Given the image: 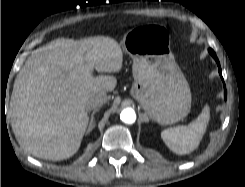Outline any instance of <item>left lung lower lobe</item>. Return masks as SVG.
I'll use <instances>...</instances> for the list:
<instances>
[{
    "label": "left lung lower lobe",
    "mask_w": 245,
    "mask_h": 187,
    "mask_svg": "<svg viewBox=\"0 0 245 187\" xmlns=\"http://www.w3.org/2000/svg\"><path fill=\"white\" fill-rule=\"evenodd\" d=\"M208 51H209V53L212 55V57L215 59L217 65H218V67H219V74H220V76H221V78H222V80H223V77H222V71H221V67H220V63H219V60H218V58H217L215 52H214L211 48H210ZM224 96H225V100H226V87H225V84H224Z\"/></svg>",
    "instance_id": "left-lung-lower-lobe-1"
}]
</instances>
